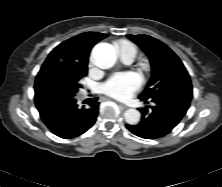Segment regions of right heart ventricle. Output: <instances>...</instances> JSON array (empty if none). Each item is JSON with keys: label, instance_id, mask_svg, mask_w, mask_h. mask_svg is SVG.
Wrapping results in <instances>:
<instances>
[{"label": "right heart ventricle", "instance_id": "1", "mask_svg": "<svg viewBox=\"0 0 222 187\" xmlns=\"http://www.w3.org/2000/svg\"><path fill=\"white\" fill-rule=\"evenodd\" d=\"M127 46H131L129 43H126V42H122L119 44V47L120 49L123 48V47H127Z\"/></svg>", "mask_w": 222, "mask_h": 187}]
</instances>
